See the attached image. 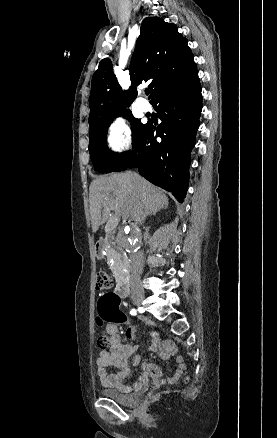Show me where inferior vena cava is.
<instances>
[{
  "mask_svg": "<svg viewBox=\"0 0 277 438\" xmlns=\"http://www.w3.org/2000/svg\"><path fill=\"white\" fill-rule=\"evenodd\" d=\"M131 174V172H130ZM132 182L135 184L137 180H139L140 176L138 174H131ZM132 276H131V290H141V282L140 276L142 272V260H136V258H132Z\"/></svg>",
  "mask_w": 277,
  "mask_h": 438,
  "instance_id": "obj_1",
  "label": "inferior vena cava"
}]
</instances>
